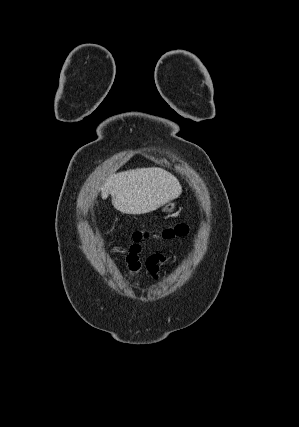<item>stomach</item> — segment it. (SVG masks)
Instances as JSON below:
<instances>
[{
  "instance_id": "1",
  "label": "stomach",
  "mask_w": 299,
  "mask_h": 427,
  "mask_svg": "<svg viewBox=\"0 0 299 427\" xmlns=\"http://www.w3.org/2000/svg\"><path fill=\"white\" fill-rule=\"evenodd\" d=\"M176 203L175 202H168L167 204L162 206V212L164 213H171L175 210Z\"/></svg>"
}]
</instances>
